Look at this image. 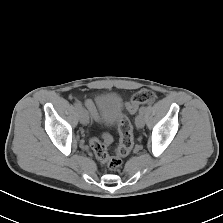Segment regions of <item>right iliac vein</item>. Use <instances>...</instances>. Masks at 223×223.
Instances as JSON below:
<instances>
[{"label":"right iliac vein","instance_id":"right-iliac-vein-1","mask_svg":"<svg viewBox=\"0 0 223 223\" xmlns=\"http://www.w3.org/2000/svg\"><path fill=\"white\" fill-rule=\"evenodd\" d=\"M79 117H80V122L84 125L88 124L89 122V116L87 111L84 108L79 109Z\"/></svg>","mask_w":223,"mask_h":223}]
</instances>
